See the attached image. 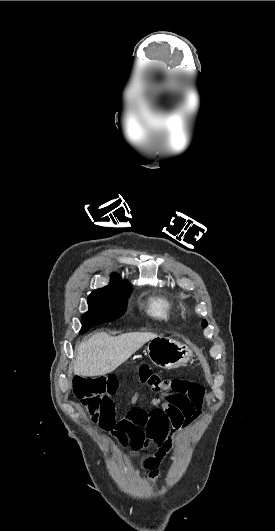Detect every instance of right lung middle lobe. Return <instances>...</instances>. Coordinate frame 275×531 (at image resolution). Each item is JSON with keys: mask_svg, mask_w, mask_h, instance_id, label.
<instances>
[{"mask_svg": "<svg viewBox=\"0 0 275 531\" xmlns=\"http://www.w3.org/2000/svg\"><path fill=\"white\" fill-rule=\"evenodd\" d=\"M131 286L126 288L104 287L92 291L88 297L89 310L82 316L80 333L87 332L91 327L114 321L126 310L127 300L131 294Z\"/></svg>", "mask_w": 275, "mask_h": 531, "instance_id": "dd1d6c3e", "label": "right lung middle lobe"}]
</instances>
